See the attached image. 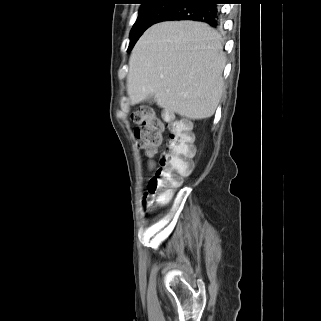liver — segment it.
I'll list each match as a JSON object with an SVG mask.
<instances>
[{"mask_svg":"<svg viewBox=\"0 0 321 321\" xmlns=\"http://www.w3.org/2000/svg\"><path fill=\"white\" fill-rule=\"evenodd\" d=\"M225 62L221 37L207 24H155L140 37L129 59L130 102L154 96L169 112L193 120L209 118L222 96Z\"/></svg>","mask_w":321,"mask_h":321,"instance_id":"liver-1","label":"liver"}]
</instances>
